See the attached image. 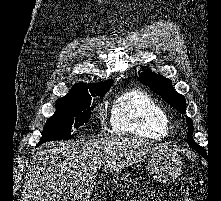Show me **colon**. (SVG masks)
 <instances>
[{"label":"colon","mask_w":221,"mask_h":201,"mask_svg":"<svg viewBox=\"0 0 221 201\" xmlns=\"http://www.w3.org/2000/svg\"><path fill=\"white\" fill-rule=\"evenodd\" d=\"M185 201H195L189 194L188 191L185 192Z\"/></svg>","instance_id":"5ec220e1"}]
</instances>
